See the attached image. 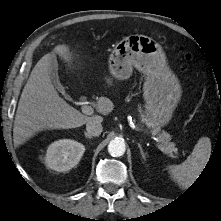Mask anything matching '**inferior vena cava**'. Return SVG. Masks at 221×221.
Returning <instances> with one entry per match:
<instances>
[{
    "label": "inferior vena cava",
    "mask_w": 221,
    "mask_h": 221,
    "mask_svg": "<svg viewBox=\"0 0 221 221\" xmlns=\"http://www.w3.org/2000/svg\"><path fill=\"white\" fill-rule=\"evenodd\" d=\"M86 131L90 136H99L103 131L101 122L98 120L88 122L86 124Z\"/></svg>",
    "instance_id": "1"
}]
</instances>
